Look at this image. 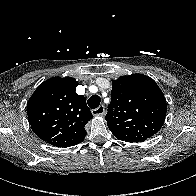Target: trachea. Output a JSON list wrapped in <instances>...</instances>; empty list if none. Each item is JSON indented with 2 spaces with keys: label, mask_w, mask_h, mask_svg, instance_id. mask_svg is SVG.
Listing matches in <instances>:
<instances>
[{
  "label": "trachea",
  "mask_w": 196,
  "mask_h": 196,
  "mask_svg": "<svg viewBox=\"0 0 196 196\" xmlns=\"http://www.w3.org/2000/svg\"><path fill=\"white\" fill-rule=\"evenodd\" d=\"M100 102H101V98H100L98 95H93V96H91V97L88 99V101H87V103H88V105H89V107H90L91 109H96V108H98L99 105H100Z\"/></svg>",
  "instance_id": "obj_1"
}]
</instances>
